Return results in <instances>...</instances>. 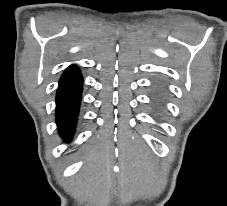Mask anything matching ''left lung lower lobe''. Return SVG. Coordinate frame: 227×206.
Masks as SVG:
<instances>
[{
	"mask_svg": "<svg viewBox=\"0 0 227 206\" xmlns=\"http://www.w3.org/2000/svg\"><path fill=\"white\" fill-rule=\"evenodd\" d=\"M155 90H156L157 95L162 94L164 92V87H163L162 83H159V82L156 83Z\"/></svg>",
	"mask_w": 227,
	"mask_h": 206,
	"instance_id": "obj_1",
	"label": "left lung lower lobe"
}]
</instances>
